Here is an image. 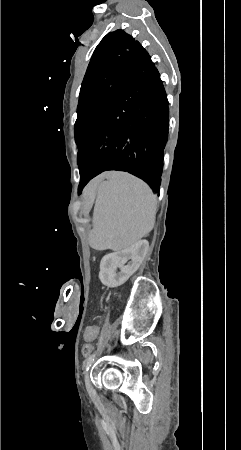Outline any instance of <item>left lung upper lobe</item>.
Listing matches in <instances>:
<instances>
[{
	"instance_id": "1",
	"label": "left lung upper lobe",
	"mask_w": 241,
	"mask_h": 450,
	"mask_svg": "<svg viewBox=\"0 0 241 450\" xmlns=\"http://www.w3.org/2000/svg\"><path fill=\"white\" fill-rule=\"evenodd\" d=\"M137 41L122 30L107 34L96 47L84 76L77 107L78 158L97 121L118 100Z\"/></svg>"
}]
</instances>
